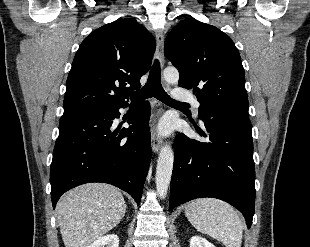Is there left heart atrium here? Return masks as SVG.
<instances>
[{
	"mask_svg": "<svg viewBox=\"0 0 310 247\" xmlns=\"http://www.w3.org/2000/svg\"><path fill=\"white\" fill-rule=\"evenodd\" d=\"M170 122L166 119L162 120V122L159 125V131L162 134H167L170 131Z\"/></svg>",
	"mask_w": 310,
	"mask_h": 247,
	"instance_id": "left-heart-atrium-1",
	"label": "left heart atrium"
}]
</instances>
